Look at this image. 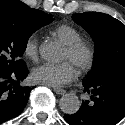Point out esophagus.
<instances>
[{
    "mask_svg": "<svg viewBox=\"0 0 125 125\" xmlns=\"http://www.w3.org/2000/svg\"><path fill=\"white\" fill-rule=\"evenodd\" d=\"M53 90H54V92H55L56 94H59V95H63V94L66 93V90H64V89H62V88H58V87H54Z\"/></svg>",
    "mask_w": 125,
    "mask_h": 125,
    "instance_id": "obj_1",
    "label": "esophagus"
}]
</instances>
